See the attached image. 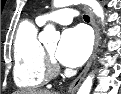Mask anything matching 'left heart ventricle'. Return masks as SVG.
<instances>
[{
    "mask_svg": "<svg viewBox=\"0 0 121 94\" xmlns=\"http://www.w3.org/2000/svg\"><path fill=\"white\" fill-rule=\"evenodd\" d=\"M55 48H56V45H52V46H47V47H46V49H47L50 53H52V54H54Z\"/></svg>",
    "mask_w": 121,
    "mask_h": 94,
    "instance_id": "1",
    "label": "left heart ventricle"
}]
</instances>
